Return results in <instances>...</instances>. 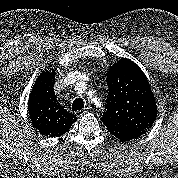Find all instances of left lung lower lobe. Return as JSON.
I'll return each instance as SVG.
<instances>
[{
  "label": "left lung lower lobe",
  "instance_id": "0a47b994",
  "mask_svg": "<svg viewBox=\"0 0 178 178\" xmlns=\"http://www.w3.org/2000/svg\"><path fill=\"white\" fill-rule=\"evenodd\" d=\"M107 127V130L122 141H129L131 139H135L143 135L145 132L139 131L136 129L126 128L119 125L104 123Z\"/></svg>",
  "mask_w": 178,
  "mask_h": 178
}]
</instances>
